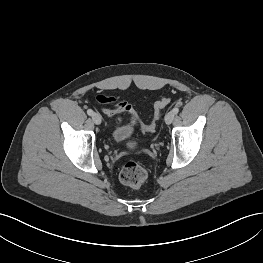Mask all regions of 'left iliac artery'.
<instances>
[{"mask_svg": "<svg viewBox=\"0 0 263 263\" xmlns=\"http://www.w3.org/2000/svg\"><path fill=\"white\" fill-rule=\"evenodd\" d=\"M172 112H173L174 114H177V113L179 112V108H178V107H174L173 110H172Z\"/></svg>", "mask_w": 263, "mask_h": 263, "instance_id": "obj_1", "label": "left iliac artery"}]
</instances>
